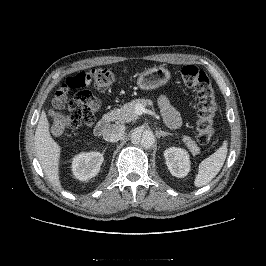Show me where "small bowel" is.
<instances>
[{"label": "small bowel", "mask_w": 266, "mask_h": 266, "mask_svg": "<svg viewBox=\"0 0 266 266\" xmlns=\"http://www.w3.org/2000/svg\"><path fill=\"white\" fill-rule=\"evenodd\" d=\"M159 106L167 124L174 128L179 127L181 124L180 116L170 104L168 97L161 96L159 98Z\"/></svg>", "instance_id": "c3829d8e"}]
</instances>
